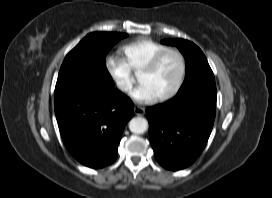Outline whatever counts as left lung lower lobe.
I'll return each mask as SVG.
<instances>
[{"label": "left lung lower lobe", "instance_id": "obj_1", "mask_svg": "<svg viewBox=\"0 0 272 198\" xmlns=\"http://www.w3.org/2000/svg\"><path fill=\"white\" fill-rule=\"evenodd\" d=\"M216 99L215 84H200L146 109L150 141L161 166L180 170L199 157L212 131Z\"/></svg>", "mask_w": 272, "mask_h": 198}]
</instances>
